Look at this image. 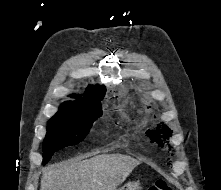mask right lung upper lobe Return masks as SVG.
Listing matches in <instances>:
<instances>
[{
    "label": "right lung upper lobe",
    "instance_id": "obj_1",
    "mask_svg": "<svg viewBox=\"0 0 221 190\" xmlns=\"http://www.w3.org/2000/svg\"><path fill=\"white\" fill-rule=\"evenodd\" d=\"M85 97L80 98L79 95L72 94L70 95L71 98H78L75 101H66L61 104L59 107V111H66L73 109L79 105L92 103L96 101H100L103 99L105 95V87L104 86H88L85 92Z\"/></svg>",
    "mask_w": 221,
    "mask_h": 190
}]
</instances>
